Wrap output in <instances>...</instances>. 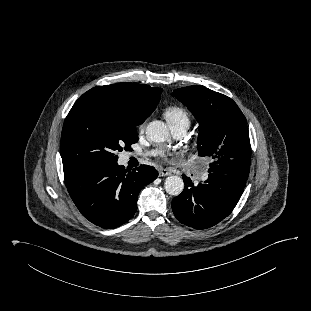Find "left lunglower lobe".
<instances>
[{
	"label": "left lung lower lobe",
	"instance_id": "obj_1",
	"mask_svg": "<svg viewBox=\"0 0 311 311\" xmlns=\"http://www.w3.org/2000/svg\"><path fill=\"white\" fill-rule=\"evenodd\" d=\"M183 192L172 200L175 217L195 229L212 227L226 218L238 203L247 180L209 172L208 179L195 186L183 176Z\"/></svg>",
	"mask_w": 311,
	"mask_h": 311
}]
</instances>
